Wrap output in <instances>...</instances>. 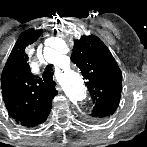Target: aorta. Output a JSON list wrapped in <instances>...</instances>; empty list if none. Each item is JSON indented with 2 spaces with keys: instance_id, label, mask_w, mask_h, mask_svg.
<instances>
[{
  "instance_id": "obj_1",
  "label": "aorta",
  "mask_w": 147,
  "mask_h": 147,
  "mask_svg": "<svg viewBox=\"0 0 147 147\" xmlns=\"http://www.w3.org/2000/svg\"><path fill=\"white\" fill-rule=\"evenodd\" d=\"M66 77L68 78L64 81L66 86L69 88L70 83L72 85V93L74 95L79 94V91L83 90L81 77L73 71H67Z\"/></svg>"
}]
</instances>
